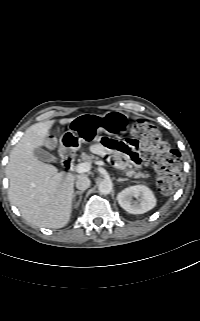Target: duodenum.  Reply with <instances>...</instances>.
Returning <instances> with one entry per match:
<instances>
[{
    "instance_id": "410a0bca",
    "label": "duodenum",
    "mask_w": 200,
    "mask_h": 321,
    "mask_svg": "<svg viewBox=\"0 0 200 321\" xmlns=\"http://www.w3.org/2000/svg\"><path fill=\"white\" fill-rule=\"evenodd\" d=\"M62 165L65 169L70 170L73 166V159L71 156L65 154L62 158Z\"/></svg>"
}]
</instances>
